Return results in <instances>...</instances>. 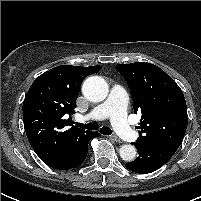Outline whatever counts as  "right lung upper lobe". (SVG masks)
Masks as SVG:
<instances>
[{"mask_svg": "<svg viewBox=\"0 0 201 201\" xmlns=\"http://www.w3.org/2000/svg\"><path fill=\"white\" fill-rule=\"evenodd\" d=\"M101 66H57L38 76L23 102L27 138L47 165L67 157L88 131L72 125L71 115L82 81ZM69 116L68 119H66Z\"/></svg>", "mask_w": 201, "mask_h": 201, "instance_id": "1", "label": "right lung upper lobe"}]
</instances>
